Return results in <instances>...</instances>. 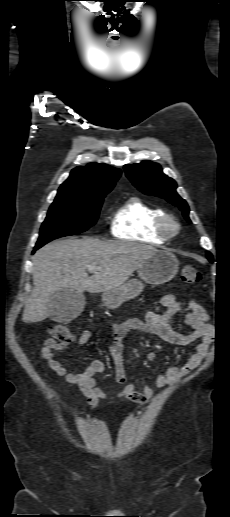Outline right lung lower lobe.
Masks as SVG:
<instances>
[{
	"mask_svg": "<svg viewBox=\"0 0 230 517\" xmlns=\"http://www.w3.org/2000/svg\"><path fill=\"white\" fill-rule=\"evenodd\" d=\"M38 248H40V247H38V246H35V248H34V251H35V250H37ZM34 251H33V253H34Z\"/></svg>",
	"mask_w": 230,
	"mask_h": 517,
	"instance_id": "98d812e1",
	"label": "right lung lower lobe"
}]
</instances>
